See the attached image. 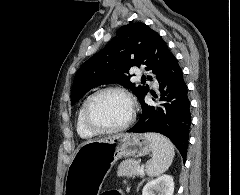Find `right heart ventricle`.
<instances>
[{"label":"right heart ventricle","mask_w":240,"mask_h":195,"mask_svg":"<svg viewBox=\"0 0 240 195\" xmlns=\"http://www.w3.org/2000/svg\"><path fill=\"white\" fill-rule=\"evenodd\" d=\"M89 99L83 101L81 106L79 107L78 114H77V131L79 135L84 139H90L94 137L96 134L93 133L91 130L87 128L84 122V109L86 106V103Z\"/></svg>","instance_id":"e07e8e85"}]
</instances>
